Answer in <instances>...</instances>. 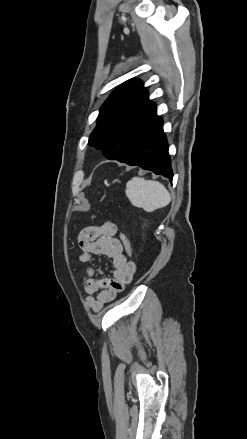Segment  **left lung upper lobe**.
Here are the masks:
<instances>
[{
    "label": "left lung upper lobe",
    "instance_id": "1",
    "mask_svg": "<svg viewBox=\"0 0 247 439\" xmlns=\"http://www.w3.org/2000/svg\"><path fill=\"white\" fill-rule=\"evenodd\" d=\"M155 114L156 105L148 100L142 82L127 81L101 107L89 144L102 150L107 159L122 162L139 131Z\"/></svg>",
    "mask_w": 247,
    "mask_h": 439
}]
</instances>
